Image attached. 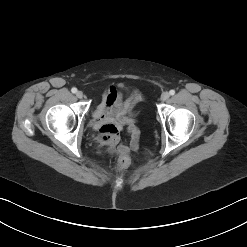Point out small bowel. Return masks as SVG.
<instances>
[{
	"mask_svg": "<svg viewBox=\"0 0 247 247\" xmlns=\"http://www.w3.org/2000/svg\"><path fill=\"white\" fill-rule=\"evenodd\" d=\"M143 99L133 91L124 97L115 87L108 88L102 100L92 113V127L98 132V142L106 147L109 153L127 155L130 150H137L139 132L135 127L134 107ZM129 127L131 141L129 145L119 144L120 132Z\"/></svg>",
	"mask_w": 247,
	"mask_h": 247,
	"instance_id": "c3829d8e",
	"label": "small bowel"
}]
</instances>
